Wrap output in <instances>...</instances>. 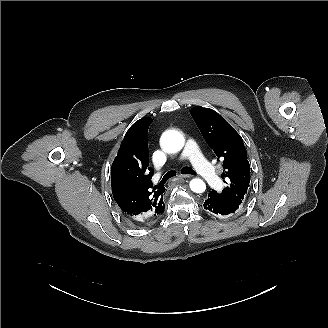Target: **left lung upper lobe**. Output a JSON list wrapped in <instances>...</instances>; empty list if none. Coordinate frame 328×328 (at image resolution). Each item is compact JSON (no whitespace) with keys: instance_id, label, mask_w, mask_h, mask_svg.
<instances>
[{"instance_id":"left-lung-upper-lobe-1","label":"left lung upper lobe","mask_w":328,"mask_h":328,"mask_svg":"<svg viewBox=\"0 0 328 328\" xmlns=\"http://www.w3.org/2000/svg\"><path fill=\"white\" fill-rule=\"evenodd\" d=\"M190 112L205 141L223 163L221 177L227 186L221 193L212 190L210 194L235 212L250 184V165L243 140L216 111L196 106Z\"/></svg>"}]
</instances>
